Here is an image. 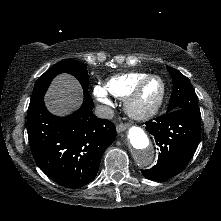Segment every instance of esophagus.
<instances>
[{"label":"esophagus","mask_w":221,"mask_h":221,"mask_svg":"<svg viewBox=\"0 0 221 221\" xmlns=\"http://www.w3.org/2000/svg\"><path fill=\"white\" fill-rule=\"evenodd\" d=\"M116 129H117L118 133H121V132H123L126 129V124H124V123L118 124L116 126Z\"/></svg>","instance_id":"34e87169"}]
</instances>
